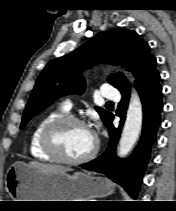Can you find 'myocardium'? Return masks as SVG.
Masks as SVG:
<instances>
[{"label":"myocardium","mask_w":176,"mask_h":211,"mask_svg":"<svg viewBox=\"0 0 176 211\" xmlns=\"http://www.w3.org/2000/svg\"><path fill=\"white\" fill-rule=\"evenodd\" d=\"M77 124L88 128L86 122L74 115L64 114L51 120L44 128L42 133V147L55 160L66 164H82L95 157L99 150V141L95 137V142L92 149L84 156L78 158H70L66 156L59 144V134L61 129L66 125Z\"/></svg>","instance_id":"1"}]
</instances>
